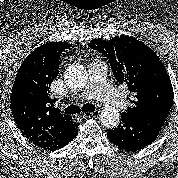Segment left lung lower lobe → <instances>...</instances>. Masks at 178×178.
Returning a JSON list of instances; mask_svg holds the SVG:
<instances>
[{
	"label": "left lung lower lobe",
	"instance_id": "left-lung-lower-lobe-1",
	"mask_svg": "<svg viewBox=\"0 0 178 178\" xmlns=\"http://www.w3.org/2000/svg\"><path fill=\"white\" fill-rule=\"evenodd\" d=\"M166 119L122 113L121 122L115 129H108V139L126 151H137L151 144L158 136Z\"/></svg>",
	"mask_w": 178,
	"mask_h": 178
}]
</instances>
